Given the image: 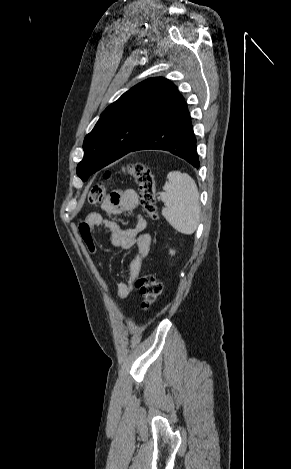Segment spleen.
Instances as JSON below:
<instances>
[{"mask_svg":"<svg viewBox=\"0 0 291 469\" xmlns=\"http://www.w3.org/2000/svg\"><path fill=\"white\" fill-rule=\"evenodd\" d=\"M160 194L165 207L163 217L178 232L193 234L199 223V192L194 179L187 173L170 172Z\"/></svg>","mask_w":291,"mask_h":469,"instance_id":"spleen-1","label":"spleen"}]
</instances>
